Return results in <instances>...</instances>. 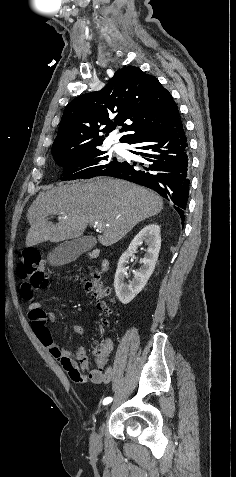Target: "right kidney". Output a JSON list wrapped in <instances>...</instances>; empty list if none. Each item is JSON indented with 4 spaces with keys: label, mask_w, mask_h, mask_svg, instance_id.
Instances as JSON below:
<instances>
[{
    "label": "right kidney",
    "mask_w": 236,
    "mask_h": 477,
    "mask_svg": "<svg viewBox=\"0 0 236 477\" xmlns=\"http://www.w3.org/2000/svg\"><path fill=\"white\" fill-rule=\"evenodd\" d=\"M143 242L148 246L146 254L140 260L142 264L139 270L134 272V278L125 283L127 275V263L133 253ZM161 247L160 227L157 224H149L145 226L132 240L126 252L119 259L117 270L115 273L114 287L118 299L123 304L131 302L135 296L142 291L148 279L153 273L156 261L159 256Z\"/></svg>",
    "instance_id": "1"
}]
</instances>
